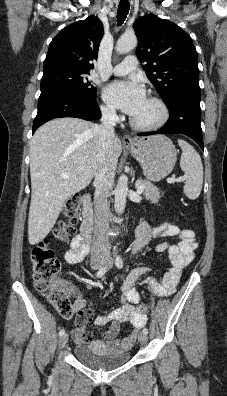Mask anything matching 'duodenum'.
I'll return each mask as SVG.
<instances>
[{"mask_svg": "<svg viewBox=\"0 0 227 396\" xmlns=\"http://www.w3.org/2000/svg\"><path fill=\"white\" fill-rule=\"evenodd\" d=\"M94 223L93 207L90 195L83 196L82 223L80 227V238L88 246Z\"/></svg>", "mask_w": 227, "mask_h": 396, "instance_id": "1", "label": "duodenum"}]
</instances>
